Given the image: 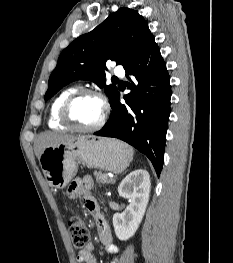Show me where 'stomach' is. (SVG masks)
Instances as JSON below:
<instances>
[{
	"label": "stomach",
	"instance_id": "0dacf381",
	"mask_svg": "<svg viewBox=\"0 0 233 263\" xmlns=\"http://www.w3.org/2000/svg\"><path fill=\"white\" fill-rule=\"evenodd\" d=\"M132 159L133 152L124 142L81 135L45 148L39 161L49 186L63 189L76 175L80 163L89 168L121 173Z\"/></svg>",
	"mask_w": 233,
	"mask_h": 263
}]
</instances>
